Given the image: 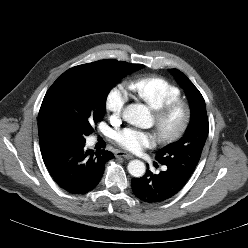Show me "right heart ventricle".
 <instances>
[{
	"mask_svg": "<svg viewBox=\"0 0 248 248\" xmlns=\"http://www.w3.org/2000/svg\"><path fill=\"white\" fill-rule=\"evenodd\" d=\"M128 88L153 110L181 97V90L177 85L158 76L139 77L129 82Z\"/></svg>",
	"mask_w": 248,
	"mask_h": 248,
	"instance_id": "e07e8e85",
	"label": "right heart ventricle"
}]
</instances>
